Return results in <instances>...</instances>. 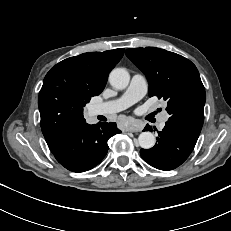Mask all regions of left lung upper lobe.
<instances>
[{
	"label": "left lung upper lobe",
	"instance_id": "obj_1",
	"mask_svg": "<svg viewBox=\"0 0 231 231\" xmlns=\"http://www.w3.org/2000/svg\"><path fill=\"white\" fill-rule=\"evenodd\" d=\"M125 53L146 75L149 96L167 101L168 122L199 135L206 97L196 66L181 55L155 47L127 49Z\"/></svg>",
	"mask_w": 231,
	"mask_h": 231
}]
</instances>
